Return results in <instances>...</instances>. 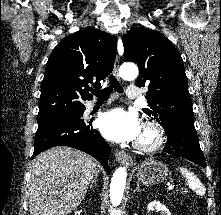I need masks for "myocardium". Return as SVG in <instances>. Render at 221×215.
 I'll use <instances>...</instances> for the list:
<instances>
[{
  "mask_svg": "<svg viewBox=\"0 0 221 215\" xmlns=\"http://www.w3.org/2000/svg\"><path fill=\"white\" fill-rule=\"evenodd\" d=\"M142 133L148 139L139 138L135 143V148L140 152L150 153L158 150L165 141V132L162 126L155 121H147L142 125Z\"/></svg>",
  "mask_w": 221,
  "mask_h": 215,
  "instance_id": "myocardium-1",
  "label": "myocardium"
}]
</instances>
